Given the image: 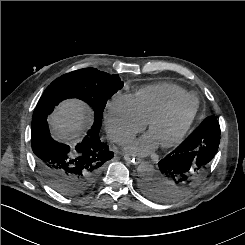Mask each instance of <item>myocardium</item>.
<instances>
[{
  "label": "myocardium",
  "instance_id": "obj_1",
  "mask_svg": "<svg viewBox=\"0 0 245 245\" xmlns=\"http://www.w3.org/2000/svg\"><path fill=\"white\" fill-rule=\"evenodd\" d=\"M189 100H194L195 101V108L194 111L189 118V120L185 123V125L182 127V129L179 131V133L170 141L161 143L160 147L163 149H169L172 147L177 146L180 144L185 136L187 135L188 131L192 127L198 111H199V100L195 95L189 94L183 98H180L178 100L173 101L169 105H167L165 108H163L161 111L156 113L154 116H152L149 121L147 122V129L150 132L152 128L159 122L163 121L167 117H169L178 107L183 105L184 103L188 102Z\"/></svg>",
  "mask_w": 245,
  "mask_h": 245
}]
</instances>
